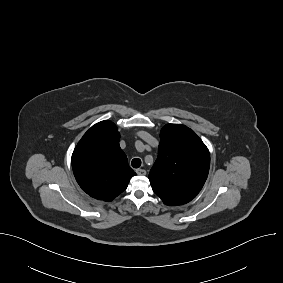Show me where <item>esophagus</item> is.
Here are the masks:
<instances>
[{
	"label": "esophagus",
	"instance_id": "obj_1",
	"mask_svg": "<svg viewBox=\"0 0 283 283\" xmlns=\"http://www.w3.org/2000/svg\"><path fill=\"white\" fill-rule=\"evenodd\" d=\"M136 173H137L138 175H145V174H146V171H145L144 169L139 168V169H136Z\"/></svg>",
	"mask_w": 283,
	"mask_h": 283
}]
</instances>
